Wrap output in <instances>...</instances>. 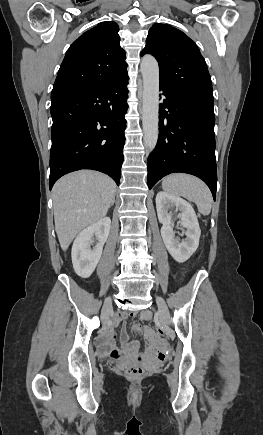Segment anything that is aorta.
<instances>
[{"mask_svg":"<svg viewBox=\"0 0 263 435\" xmlns=\"http://www.w3.org/2000/svg\"><path fill=\"white\" fill-rule=\"evenodd\" d=\"M140 70L143 77V139L147 150L152 151L158 139L159 66L153 56L146 55L141 60Z\"/></svg>","mask_w":263,"mask_h":435,"instance_id":"aorta-1","label":"aorta"}]
</instances>
